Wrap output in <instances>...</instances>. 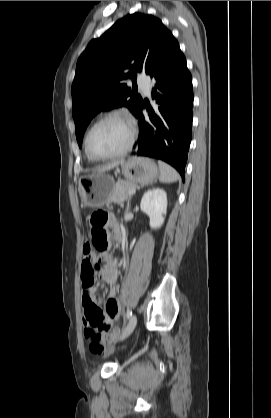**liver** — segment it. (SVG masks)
Wrapping results in <instances>:
<instances>
[{
	"instance_id": "6515ba94",
	"label": "liver",
	"mask_w": 271,
	"mask_h": 418,
	"mask_svg": "<svg viewBox=\"0 0 271 418\" xmlns=\"http://www.w3.org/2000/svg\"><path fill=\"white\" fill-rule=\"evenodd\" d=\"M120 163H122V162H114L112 164L104 166V167L98 169L97 173H103V172L109 171V170L113 169L114 167L118 166Z\"/></svg>"
}]
</instances>
